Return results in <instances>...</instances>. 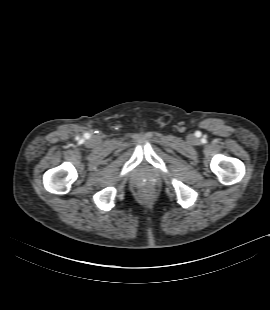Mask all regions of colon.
<instances>
[{"label": "colon", "mask_w": 270, "mask_h": 310, "mask_svg": "<svg viewBox=\"0 0 270 310\" xmlns=\"http://www.w3.org/2000/svg\"><path fill=\"white\" fill-rule=\"evenodd\" d=\"M144 194L146 197H151L152 196V192L150 190H145Z\"/></svg>", "instance_id": "colon-1"}]
</instances>
